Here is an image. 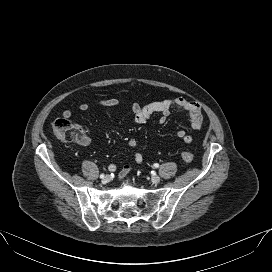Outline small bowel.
Instances as JSON below:
<instances>
[{"instance_id": "small-bowel-1", "label": "small bowel", "mask_w": 272, "mask_h": 272, "mask_svg": "<svg viewBox=\"0 0 272 272\" xmlns=\"http://www.w3.org/2000/svg\"><path fill=\"white\" fill-rule=\"evenodd\" d=\"M96 105L98 107L115 108L120 105V102L116 98H106L97 101ZM89 107L90 103L88 102H81L78 105V108L81 111H86ZM126 108L132 113L134 121L137 124H144L155 113L160 114L159 123L163 124L167 121L171 111L174 109L188 113L191 127L194 130H201L204 123L200 105L195 101H191L183 97L153 101L145 105L131 103L127 105ZM72 115L73 111L69 109L64 110L62 113V116L65 118H70ZM177 136L187 144L191 143L193 140L192 136L185 130H179L177 132ZM128 145L130 148L135 149L137 147V141L135 139H131L129 140ZM132 157L136 164H141L143 162V156L138 151H134ZM109 168L111 171H115L116 165L111 164ZM131 170V166L125 165L119 172V178H125Z\"/></svg>"}]
</instances>
